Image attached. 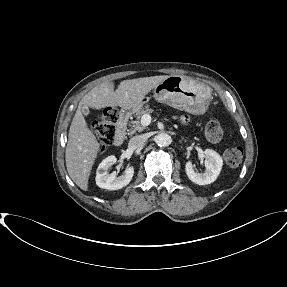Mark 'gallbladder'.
<instances>
[{"mask_svg":"<svg viewBox=\"0 0 287 287\" xmlns=\"http://www.w3.org/2000/svg\"><path fill=\"white\" fill-rule=\"evenodd\" d=\"M82 113L84 116H88L90 114V110L87 106L82 107Z\"/></svg>","mask_w":287,"mask_h":287,"instance_id":"1","label":"gallbladder"}]
</instances>
